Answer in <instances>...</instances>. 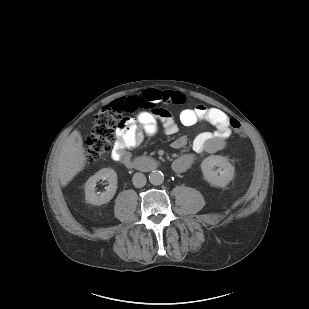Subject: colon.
<instances>
[{"instance_id":"colon-1","label":"colon","mask_w":309,"mask_h":309,"mask_svg":"<svg viewBox=\"0 0 309 309\" xmlns=\"http://www.w3.org/2000/svg\"><path fill=\"white\" fill-rule=\"evenodd\" d=\"M130 98L120 99L104 106L96 115L91 133L85 142L84 164L93 165L96 161L109 154L117 137V132L129 122L125 115L130 113ZM234 131L242 138L246 137L237 120L231 121Z\"/></svg>"}]
</instances>
